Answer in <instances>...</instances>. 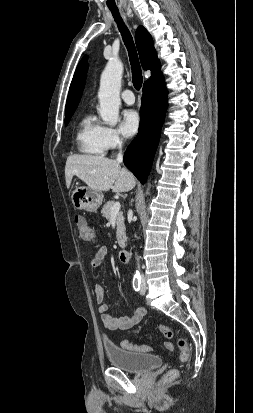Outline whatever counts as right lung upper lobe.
<instances>
[{"label": "right lung upper lobe", "instance_id": "cb5924a9", "mask_svg": "<svg viewBox=\"0 0 253 413\" xmlns=\"http://www.w3.org/2000/svg\"><path fill=\"white\" fill-rule=\"evenodd\" d=\"M135 41L143 69L151 70L152 77L148 80L150 81L161 74L160 63L156 55L152 37L143 26H139L135 33ZM86 71V60L84 58L78 64L69 88L65 116L73 115L78 106L84 88Z\"/></svg>", "mask_w": 253, "mask_h": 413}]
</instances>
